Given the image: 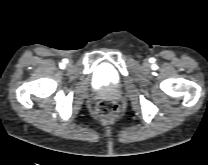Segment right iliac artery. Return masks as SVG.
Segmentation results:
<instances>
[{"label":"right iliac artery","mask_w":208,"mask_h":165,"mask_svg":"<svg viewBox=\"0 0 208 165\" xmlns=\"http://www.w3.org/2000/svg\"><path fill=\"white\" fill-rule=\"evenodd\" d=\"M63 62H64V63H67V60L64 59ZM64 63H61V64H60V67H61V68L64 66Z\"/></svg>","instance_id":"82829eb1"}]
</instances>
